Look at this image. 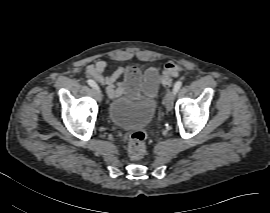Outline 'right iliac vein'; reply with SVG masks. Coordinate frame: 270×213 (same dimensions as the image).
Returning <instances> with one entry per match:
<instances>
[{
	"label": "right iliac vein",
	"mask_w": 270,
	"mask_h": 213,
	"mask_svg": "<svg viewBox=\"0 0 270 213\" xmlns=\"http://www.w3.org/2000/svg\"><path fill=\"white\" fill-rule=\"evenodd\" d=\"M93 95H94V97L96 98V99H100V97H101V94H100V91L99 90H94L93 91Z\"/></svg>",
	"instance_id": "63e3f726"
}]
</instances>
